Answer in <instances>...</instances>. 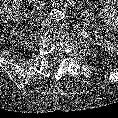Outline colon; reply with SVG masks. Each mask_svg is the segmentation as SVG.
<instances>
[{
  "mask_svg": "<svg viewBox=\"0 0 118 118\" xmlns=\"http://www.w3.org/2000/svg\"><path fill=\"white\" fill-rule=\"evenodd\" d=\"M32 9L31 0H3L0 4V15L2 18L22 16Z\"/></svg>",
  "mask_w": 118,
  "mask_h": 118,
  "instance_id": "1",
  "label": "colon"
}]
</instances>
